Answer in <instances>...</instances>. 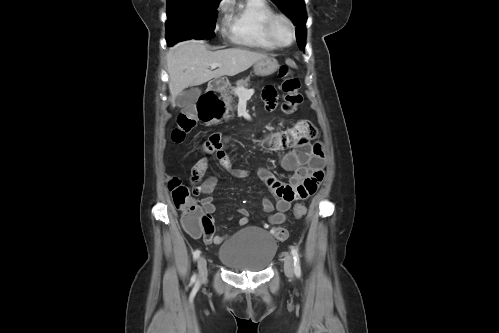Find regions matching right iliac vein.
Wrapping results in <instances>:
<instances>
[{
  "mask_svg": "<svg viewBox=\"0 0 499 333\" xmlns=\"http://www.w3.org/2000/svg\"><path fill=\"white\" fill-rule=\"evenodd\" d=\"M199 281L202 282L207 278V261L204 256L198 259Z\"/></svg>",
  "mask_w": 499,
  "mask_h": 333,
  "instance_id": "1",
  "label": "right iliac vein"
}]
</instances>
